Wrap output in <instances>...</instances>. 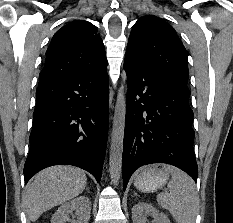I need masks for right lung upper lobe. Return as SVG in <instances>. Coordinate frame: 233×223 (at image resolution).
Masks as SVG:
<instances>
[{
    "mask_svg": "<svg viewBox=\"0 0 233 223\" xmlns=\"http://www.w3.org/2000/svg\"><path fill=\"white\" fill-rule=\"evenodd\" d=\"M106 66L104 44L96 27L88 21L75 20L54 34L39 84L98 71Z\"/></svg>",
    "mask_w": 233,
    "mask_h": 223,
    "instance_id": "cb5924a9",
    "label": "right lung upper lobe"
}]
</instances>
